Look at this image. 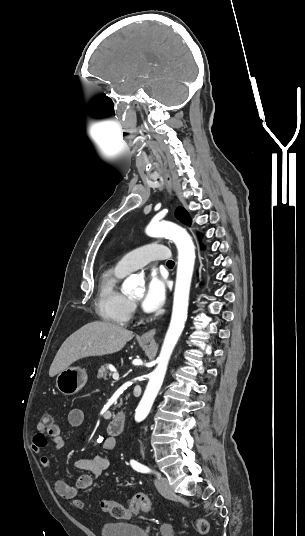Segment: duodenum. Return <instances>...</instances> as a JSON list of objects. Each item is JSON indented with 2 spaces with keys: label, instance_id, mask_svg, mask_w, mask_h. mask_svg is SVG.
I'll use <instances>...</instances> for the list:
<instances>
[{
  "label": "duodenum",
  "instance_id": "obj_1",
  "mask_svg": "<svg viewBox=\"0 0 305 536\" xmlns=\"http://www.w3.org/2000/svg\"><path fill=\"white\" fill-rule=\"evenodd\" d=\"M125 426L126 416L123 413H117L107 425V431L110 435H119L124 431Z\"/></svg>",
  "mask_w": 305,
  "mask_h": 536
}]
</instances>
